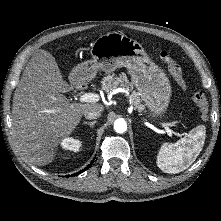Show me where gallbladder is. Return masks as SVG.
I'll list each match as a JSON object with an SVG mask.
<instances>
[{
	"label": "gallbladder",
	"mask_w": 221,
	"mask_h": 221,
	"mask_svg": "<svg viewBox=\"0 0 221 221\" xmlns=\"http://www.w3.org/2000/svg\"><path fill=\"white\" fill-rule=\"evenodd\" d=\"M32 64L42 80L56 86L60 92H66L69 86L63 81V75L57 69L55 58L45 51H38L32 57Z\"/></svg>",
	"instance_id": "obj_1"
}]
</instances>
